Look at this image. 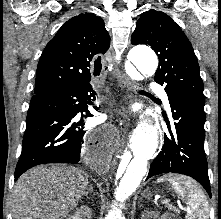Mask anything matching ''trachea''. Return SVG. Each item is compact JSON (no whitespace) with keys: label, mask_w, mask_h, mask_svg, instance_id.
Returning a JSON list of instances; mask_svg holds the SVG:
<instances>
[{"label":"trachea","mask_w":221,"mask_h":219,"mask_svg":"<svg viewBox=\"0 0 221 219\" xmlns=\"http://www.w3.org/2000/svg\"><path fill=\"white\" fill-rule=\"evenodd\" d=\"M141 93L143 94H147V95H150L149 93L145 92V91H140Z\"/></svg>","instance_id":"3493384b"}]
</instances>
